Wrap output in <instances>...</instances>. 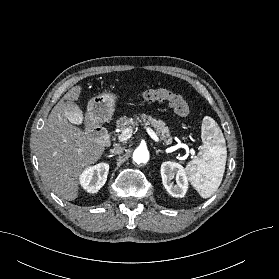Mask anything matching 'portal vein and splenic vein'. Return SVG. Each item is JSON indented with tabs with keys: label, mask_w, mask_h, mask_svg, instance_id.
Segmentation results:
<instances>
[{
	"label": "portal vein and splenic vein",
	"mask_w": 279,
	"mask_h": 279,
	"mask_svg": "<svg viewBox=\"0 0 279 279\" xmlns=\"http://www.w3.org/2000/svg\"><path fill=\"white\" fill-rule=\"evenodd\" d=\"M148 134L151 136L152 139H154L155 141H159L158 136L156 135V133L151 129V128H146ZM132 136V129H126L124 130L119 136L118 139L121 142L127 141L129 138H131ZM191 153L194 154V150H191Z\"/></svg>",
	"instance_id": "1"
}]
</instances>
